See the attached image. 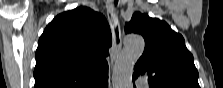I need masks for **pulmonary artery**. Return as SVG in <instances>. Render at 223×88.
<instances>
[{"label": "pulmonary artery", "instance_id": "e3ab8cb5", "mask_svg": "<svg viewBox=\"0 0 223 88\" xmlns=\"http://www.w3.org/2000/svg\"><path fill=\"white\" fill-rule=\"evenodd\" d=\"M137 84H138V86H140V87H145V82H144L143 79H138Z\"/></svg>", "mask_w": 223, "mask_h": 88}]
</instances>
